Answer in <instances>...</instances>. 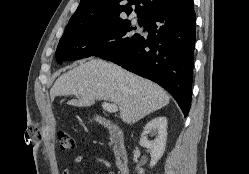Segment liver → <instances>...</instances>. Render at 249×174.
I'll list each match as a JSON object with an SVG mask.
<instances>
[{
    "instance_id": "1",
    "label": "liver",
    "mask_w": 249,
    "mask_h": 174,
    "mask_svg": "<svg viewBox=\"0 0 249 174\" xmlns=\"http://www.w3.org/2000/svg\"><path fill=\"white\" fill-rule=\"evenodd\" d=\"M74 95L68 105L90 107L96 100L118 105L123 122L133 124L165 107L170 100L159 85L101 59H91L61 75L50 90L56 96Z\"/></svg>"
}]
</instances>
